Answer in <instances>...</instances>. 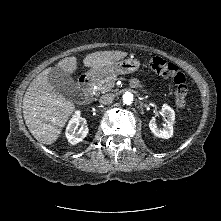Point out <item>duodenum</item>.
<instances>
[{
    "label": "duodenum",
    "mask_w": 221,
    "mask_h": 221,
    "mask_svg": "<svg viewBox=\"0 0 221 221\" xmlns=\"http://www.w3.org/2000/svg\"><path fill=\"white\" fill-rule=\"evenodd\" d=\"M79 88L83 94V101L89 103L92 100V78L89 75H82L78 81Z\"/></svg>",
    "instance_id": "duodenum-1"
}]
</instances>
